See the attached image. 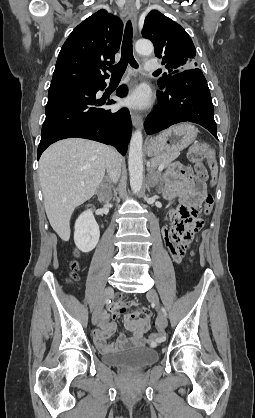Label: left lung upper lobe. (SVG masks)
Listing matches in <instances>:
<instances>
[{
  "instance_id": "5c2ea615",
  "label": "left lung upper lobe",
  "mask_w": 255,
  "mask_h": 418,
  "mask_svg": "<svg viewBox=\"0 0 255 418\" xmlns=\"http://www.w3.org/2000/svg\"><path fill=\"white\" fill-rule=\"evenodd\" d=\"M142 35L152 41L155 56L162 58V64L168 69L169 73H164L158 80L160 89L169 84L173 75L198 68L196 49L190 36L159 11L152 10L145 18Z\"/></svg>"
}]
</instances>
